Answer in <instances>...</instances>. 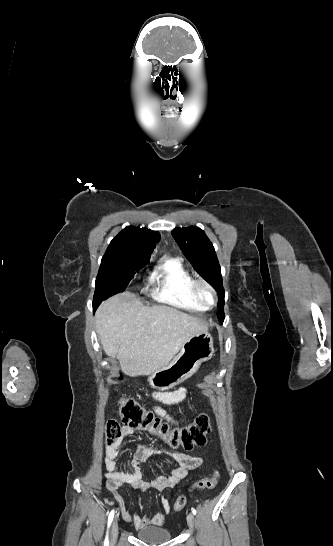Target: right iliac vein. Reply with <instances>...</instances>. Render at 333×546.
Returning a JSON list of instances; mask_svg holds the SVG:
<instances>
[{
	"label": "right iliac vein",
	"instance_id": "obj_1",
	"mask_svg": "<svg viewBox=\"0 0 333 546\" xmlns=\"http://www.w3.org/2000/svg\"><path fill=\"white\" fill-rule=\"evenodd\" d=\"M117 536H118V521H117V519L115 518V519L113 520L112 526H111L110 541H111V544H112V545L116 542Z\"/></svg>",
	"mask_w": 333,
	"mask_h": 546
}]
</instances>
